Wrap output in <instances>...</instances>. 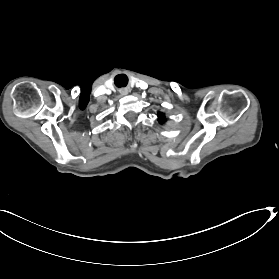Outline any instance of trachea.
<instances>
[{"instance_id":"1","label":"trachea","mask_w":279,"mask_h":279,"mask_svg":"<svg viewBox=\"0 0 279 279\" xmlns=\"http://www.w3.org/2000/svg\"><path fill=\"white\" fill-rule=\"evenodd\" d=\"M120 75H123V74H120ZM119 76V75H118ZM118 76L115 78V84L118 86V87H124L126 84H124L122 81H120L118 79Z\"/></svg>"}]
</instances>
